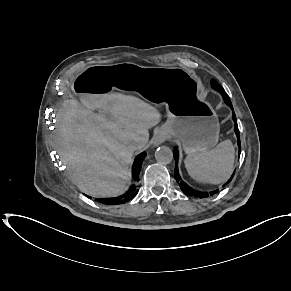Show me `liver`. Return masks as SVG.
Masks as SVG:
<instances>
[{
  "mask_svg": "<svg viewBox=\"0 0 291 291\" xmlns=\"http://www.w3.org/2000/svg\"><path fill=\"white\" fill-rule=\"evenodd\" d=\"M160 120L155 107L130 95H81L80 102L67 100L57 117L60 159L82 192L118 196L130 184L134 153L130 145L145 148L148 130Z\"/></svg>",
  "mask_w": 291,
  "mask_h": 291,
  "instance_id": "1",
  "label": "liver"
}]
</instances>
